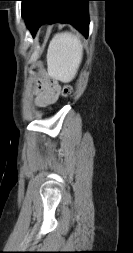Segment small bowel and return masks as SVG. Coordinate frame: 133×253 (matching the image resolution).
Returning <instances> with one entry per match:
<instances>
[{
	"mask_svg": "<svg viewBox=\"0 0 133 253\" xmlns=\"http://www.w3.org/2000/svg\"><path fill=\"white\" fill-rule=\"evenodd\" d=\"M60 95V85L54 80L40 81L36 89L35 104L37 106L51 105Z\"/></svg>",
	"mask_w": 133,
	"mask_h": 253,
	"instance_id": "c3829d8e",
	"label": "small bowel"
}]
</instances>
